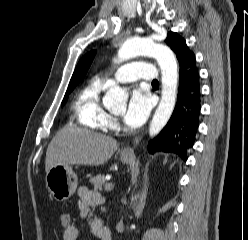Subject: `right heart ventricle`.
Wrapping results in <instances>:
<instances>
[{
  "instance_id": "obj_1",
  "label": "right heart ventricle",
  "mask_w": 248,
  "mask_h": 240,
  "mask_svg": "<svg viewBox=\"0 0 248 240\" xmlns=\"http://www.w3.org/2000/svg\"><path fill=\"white\" fill-rule=\"evenodd\" d=\"M103 84L94 79L90 81L77 95L73 111L79 125L90 129L107 127L108 114L100 101Z\"/></svg>"
}]
</instances>
